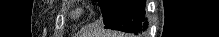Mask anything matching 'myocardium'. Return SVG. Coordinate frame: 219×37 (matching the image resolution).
<instances>
[{"label":"myocardium","mask_w":219,"mask_h":37,"mask_svg":"<svg viewBox=\"0 0 219 37\" xmlns=\"http://www.w3.org/2000/svg\"><path fill=\"white\" fill-rule=\"evenodd\" d=\"M83 14H84V8H82V7H74L71 10V16L74 19L80 18Z\"/></svg>","instance_id":"myocardium-1"}]
</instances>
